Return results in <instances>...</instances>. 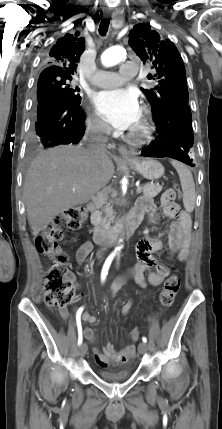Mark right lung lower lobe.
<instances>
[{"instance_id": "right-lung-lower-lobe-1", "label": "right lung lower lobe", "mask_w": 222, "mask_h": 429, "mask_svg": "<svg viewBox=\"0 0 222 429\" xmlns=\"http://www.w3.org/2000/svg\"><path fill=\"white\" fill-rule=\"evenodd\" d=\"M80 103L58 90L46 92L37 102L36 135L45 148L82 139L85 115Z\"/></svg>"}]
</instances>
